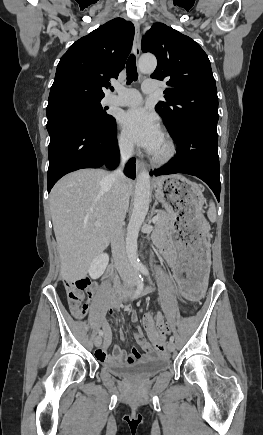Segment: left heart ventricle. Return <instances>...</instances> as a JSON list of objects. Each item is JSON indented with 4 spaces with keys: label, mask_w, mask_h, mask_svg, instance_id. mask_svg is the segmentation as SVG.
Returning <instances> with one entry per match:
<instances>
[{
    "label": "left heart ventricle",
    "mask_w": 263,
    "mask_h": 435,
    "mask_svg": "<svg viewBox=\"0 0 263 435\" xmlns=\"http://www.w3.org/2000/svg\"><path fill=\"white\" fill-rule=\"evenodd\" d=\"M166 151V144L164 142V140L162 141V143L159 145V147L155 150L154 153L156 154H163Z\"/></svg>",
    "instance_id": "left-heart-ventricle-1"
}]
</instances>
